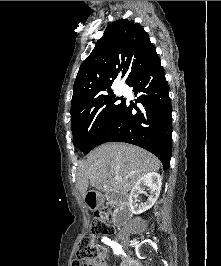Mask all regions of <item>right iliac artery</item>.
<instances>
[{
  "label": "right iliac artery",
  "mask_w": 221,
  "mask_h": 266,
  "mask_svg": "<svg viewBox=\"0 0 221 266\" xmlns=\"http://www.w3.org/2000/svg\"><path fill=\"white\" fill-rule=\"evenodd\" d=\"M102 241L105 244L111 246L115 254L119 255V254H121L123 252L121 245L116 243V242H114V241H112V240H110L109 238H103Z\"/></svg>",
  "instance_id": "right-iliac-artery-1"
}]
</instances>
